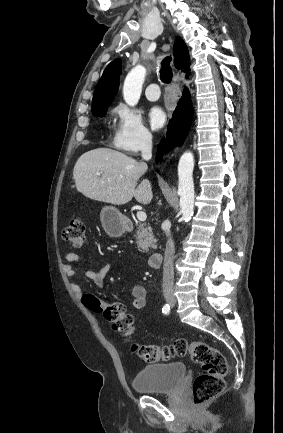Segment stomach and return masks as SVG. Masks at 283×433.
Here are the masks:
<instances>
[{"instance_id":"0dacf381","label":"stomach","mask_w":283,"mask_h":433,"mask_svg":"<svg viewBox=\"0 0 283 433\" xmlns=\"http://www.w3.org/2000/svg\"><path fill=\"white\" fill-rule=\"evenodd\" d=\"M103 219L104 231L110 237H121L127 229V217L115 206H104L100 212Z\"/></svg>"}]
</instances>
